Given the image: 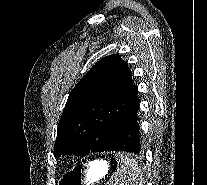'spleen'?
<instances>
[{
    "label": "spleen",
    "mask_w": 207,
    "mask_h": 185,
    "mask_svg": "<svg viewBox=\"0 0 207 185\" xmlns=\"http://www.w3.org/2000/svg\"><path fill=\"white\" fill-rule=\"evenodd\" d=\"M143 167L136 163V159L117 158V169L113 178H108L109 185H141V179H145L142 174Z\"/></svg>",
    "instance_id": "1"
}]
</instances>
